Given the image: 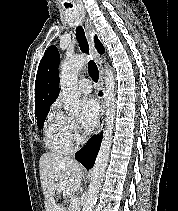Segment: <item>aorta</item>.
I'll return each instance as SVG.
<instances>
[{
    "label": "aorta",
    "mask_w": 178,
    "mask_h": 211,
    "mask_svg": "<svg viewBox=\"0 0 178 211\" xmlns=\"http://www.w3.org/2000/svg\"><path fill=\"white\" fill-rule=\"evenodd\" d=\"M86 63L87 57L85 55H77L66 58L61 67L60 86L64 98V108L72 114H77L80 111V92L77 89L76 81L80 69ZM104 72V101L106 106L105 129L100 150L91 171L88 194L82 211H92L93 209L105 177V171L109 162L110 148L112 144L116 106L115 80L114 73L111 68L105 66Z\"/></svg>",
    "instance_id": "1"
}]
</instances>
